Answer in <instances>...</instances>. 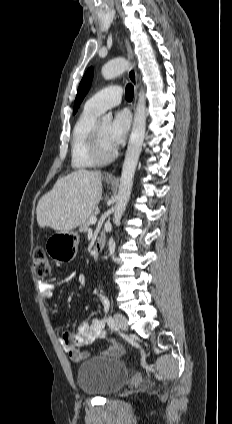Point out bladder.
I'll return each mask as SVG.
<instances>
[{
    "mask_svg": "<svg viewBox=\"0 0 232 424\" xmlns=\"http://www.w3.org/2000/svg\"><path fill=\"white\" fill-rule=\"evenodd\" d=\"M129 370L120 360L90 358L77 371V384L82 392L107 397L119 391L127 382Z\"/></svg>",
    "mask_w": 232,
    "mask_h": 424,
    "instance_id": "bladder-1",
    "label": "bladder"
}]
</instances>
